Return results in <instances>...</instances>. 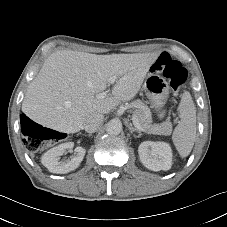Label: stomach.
<instances>
[{"label": "stomach", "mask_w": 227, "mask_h": 227, "mask_svg": "<svg viewBox=\"0 0 227 227\" xmlns=\"http://www.w3.org/2000/svg\"><path fill=\"white\" fill-rule=\"evenodd\" d=\"M143 90L154 108L160 109L165 105L169 95V86L161 75L149 73L144 81Z\"/></svg>", "instance_id": "0dacf381"}]
</instances>
